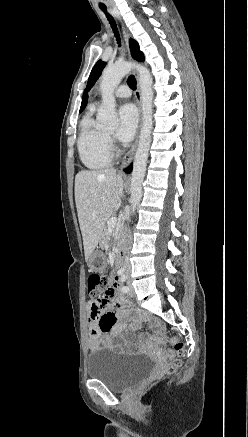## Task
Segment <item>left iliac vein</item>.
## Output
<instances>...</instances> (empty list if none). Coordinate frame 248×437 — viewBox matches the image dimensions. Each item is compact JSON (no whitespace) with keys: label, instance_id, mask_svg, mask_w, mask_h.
<instances>
[{"label":"left iliac vein","instance_id":"4c4485c4","mask_svg":"<svg viewBox=\"0 0 248 437\" xmlns=\"http://www.w3.org/2000/svg\"><path fill=\"white\" fill-rule=\"evenodd\" d=\"M128 288H129V291H128L129 296L134 297L135 296V290H134V287H133V285L131 284L130 281H128Z\"/></svg>","mask_w":248,"mask_h":437}]
</instances>
